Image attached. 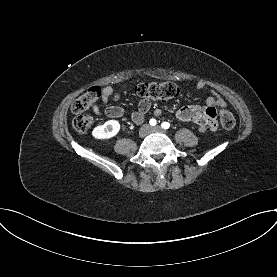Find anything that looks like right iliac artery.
Masks as SVG:
<instances>
[{"label": "right iliac artery", "mask_w": 277, "mask_h": 277, "mask_svg": "<svg viewBox=\"0 0 277 277\" xmlns=\"http://www.w3.org/2000/svg\"><path fill=\"white\" fill-rule=\"evenodd\" d=\"M149 123H150V125L154 126V125H156V120L155 119H151L149 121Z\"/></svg>", "instance_id": "82829eb1"}]
</instances>
